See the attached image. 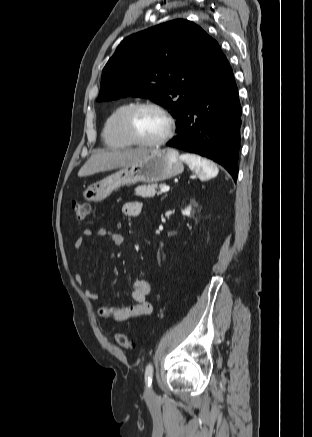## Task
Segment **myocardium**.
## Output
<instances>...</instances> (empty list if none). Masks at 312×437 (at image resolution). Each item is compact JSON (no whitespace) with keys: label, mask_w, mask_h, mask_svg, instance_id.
Masks as SVG:
<instances>
[{"label":"myocardium","mask_w":312,"mask_h":437,"mask_svg":"<svg viewBox=\"0 0 312 437\" xmlns=\"http://www.w3.org/2000/svg\"><path fill=\"white\" fill-rule=\"evenodd\" d=\"M143 109H152L160 113L167 122V129L164 135L156 140L147 141L139 138L134 130V119L138 112ZM122 129L132 144L143 147H156L167 143L173 136L175 122L172 115L161 105L154 102H140L133 104L124 114L122 119Z\"/></svg>","instance_id":"f54148a6"}]
</instances>
